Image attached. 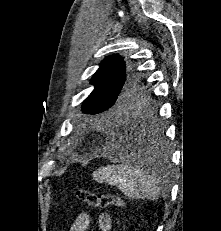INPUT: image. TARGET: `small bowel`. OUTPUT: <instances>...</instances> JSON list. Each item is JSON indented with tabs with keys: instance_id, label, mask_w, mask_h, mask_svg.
<instances>
[{
	"instance_id": "c3829d8e",
	"label": "small bowel",
	"mask_w": 221,
	"mask_h": 231,
	"mask_svg": "<svg viewBox=\"0 0 221 231\" xmlns=\"http://www.w3.org/2000/svg\"><path fill=\"white\" fill-rule=\"evenodd\" d=\"M91 223L88 213H81L70 227V231H87ZM97 227L99 231H110L112 219L109 214L101 213L97 218Z\"/></svg>"
}]
</instances>
